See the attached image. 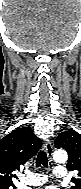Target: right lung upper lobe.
Instances as JSON below:
<instances>
[{
	"instance_id": "right-lung-upper-lobe-1",
	"label": "right lung upper lobe",
	"mask_w": 81,
	"mask_h": 189,
	"mask_svg": "<svg viewBox=\"0 0 81 189\" xmlns=\"http://www.w3.org/2000/svg\"><path fill=\"white\" fill-rule=\"evenodd\" d=\"M41 148V141L28 127L17 128L0 140V186L13 184V172Z\"/></svg>"
}]
</instances>
